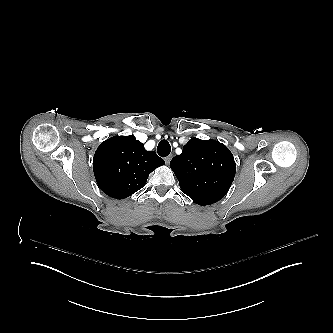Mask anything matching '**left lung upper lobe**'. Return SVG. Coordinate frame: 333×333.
Returning <instances> with one entry per match:
<instances>
[{
  "label": "left lung upper lobe",
  "mask_w": 333,
  "mask_h": 333,
  "mask_svg": "<svg viewBox=\"0 0 333 333\" xmlns=\"http://www.w3.org/2000/svg\"><path fill=\"white\" fill-rule=\"evenodd\" d=\"M170 167L183 193L201 206L216 203L228 192L236 172L230 150L215 140L192 138Z\"/></svg>",
  "instance_id": "1"
}]
</instances>
